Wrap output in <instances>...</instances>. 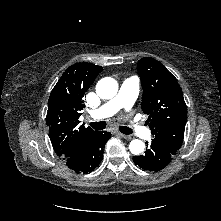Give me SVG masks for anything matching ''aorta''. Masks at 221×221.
<instances>
[{"label": "aorta", "instance_id": "aorta-1", "mask_svg": "<svg viewBox=\"0 0 221 221\" xmlns=\"http://www.w3.org/2000/svg\"><path fill=\"white\" fill-rule=\"evenodd\" d=\"M118 92V83L111 77H105L98 81L96 85V93L102 99H111ZM145 144L139 139L130 142L129 149L134 155H138L144 151Z\"/></svg>", "mask_w": 221, "mask_h": 221}]
</instances>
